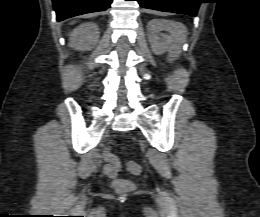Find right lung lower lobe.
I'll return each instance as SVG.
<instances>
[{"label":"right lung lower lobe","instance_id":"98d812e1","mask_svg":"<svg viewBox=\"0 0 260 217\" xmlns=\"http://www.w3.org/2000/svg\"><path fill=\"white\" fill-rule=\"evenodd\" d=\"M57 21L85 13L104 11L112 0H52Z\"/></svg>","mask_w":260,"mask_h":217}]
</instances>
